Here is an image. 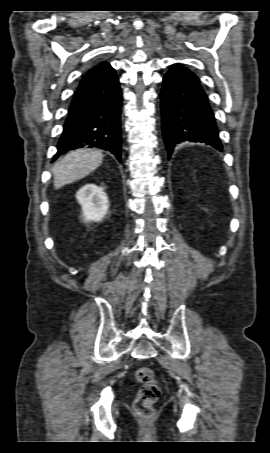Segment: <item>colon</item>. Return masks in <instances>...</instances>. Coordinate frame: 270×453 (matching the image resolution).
Here are the masks:
<instances>
[{
  "label": "colon",
  "instance_id": "5ec220e1",
  "mask_svg": "<svg viewBox=\"0 0 270 453\" xmlns=\"http://www.w3.org/2000/svg\"><path fill=\"white\" fill-rule=\"evenodd\" d=\"M136 379L141 383L134 402L136 412L143 418H151L154 414L153 406L161 394V386L152 369L139 367L135 371Z\"/></svg>",
  "mask_w": 270,
  "mask_h": 453
}]
</instances>
